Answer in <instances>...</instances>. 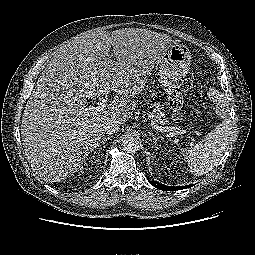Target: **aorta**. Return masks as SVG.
I'll return each mask as SVG.
<instances>
[{"mask_svg":"<svg viewBox=\"0 0 255 255\" xmlns=\"http://www.w3.org/2000/svg\"><path fill=\"white\" fill-rule=\"evenodd\" d=\"M122 148L127 153H135L139 150V141L132 136H126L122 141Z\"/></svg>","mask_w":255,"mask_h":255,"instance_id":"762f6f07","label":"aorta"}]
</instances>
